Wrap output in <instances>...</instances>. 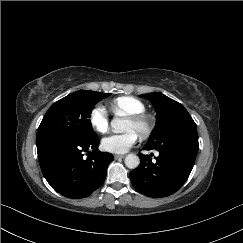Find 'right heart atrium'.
<instances>
[{
    "instance_id": "right-heart-atrium-1",
    "label": "right heart atrium",
    "mask_w": 243,
    "mask_h": 243,
    "mask_svg": "<svg viewBox=\"0 0 243 243\" xmlns=\"http://www.w3.org/2000/svg\"><path fill=\"white\" fill-rule=\"evenodd\" d=\"M90 125L99 133H105L110 124L108 112L100 105L94 106L88 116Z\"/></svg>"
}]
</instances>
